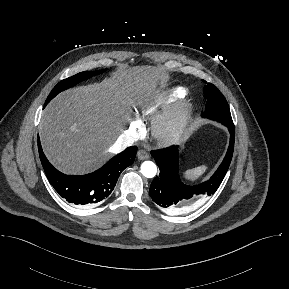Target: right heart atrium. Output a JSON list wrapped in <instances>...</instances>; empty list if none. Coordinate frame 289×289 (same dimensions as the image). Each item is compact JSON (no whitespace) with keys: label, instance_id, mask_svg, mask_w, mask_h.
I'll list each match as a JSON object with an SVG mask.
<instances>
[{"label":"right heart atrium","instance_id":"obj_1","mask_svg":"<svg viewBox=\"0 0 289 289\" xmlns=\"http://www.w3.org/2000/svg\"><path fill=\"white\" fill-rule=\"evenodd\" d=\"M128 134L130 136L136 137L139 132H140V124L137 122H132L129 126H128Z\"/></svg>","mask_w":289,"mask_h":289}]
</instances>
